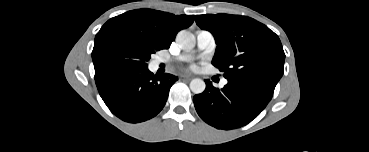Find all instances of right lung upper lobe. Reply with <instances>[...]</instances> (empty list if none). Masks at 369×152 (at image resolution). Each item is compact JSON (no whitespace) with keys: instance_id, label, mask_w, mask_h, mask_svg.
<instances>
[{"instance_id":"1","label":"right lung upper lobe","mask_w":369,"mask_h":152,"mask_svg":"<svg viewBox=\"0 0 369 152\" xmlns=\"http://www.w3.org/2000/svg\"><path fill=\"white\" fill-rule=\"evenodd\" d=\"M195 16L173 15L153 9H136L108 20L100 30L115 29L133 34L156 50L170 47L176 34L189 27Z\"/></svg>"}]
</instances>
